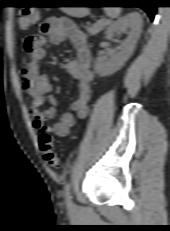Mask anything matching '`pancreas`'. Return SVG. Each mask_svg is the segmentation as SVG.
I'll use <instances>...</instances> for the list:
<instances>
[{"label":"pancreas","mask_w":170,"mask_h":231,"mask_svg":"<svg viewBox=\"0 0 170 231\" xmlns=\"http://www.w3.org/2000/svg\"><path fill=\"white\" fill-rule=\"evenodd\" d=\"M109 22L107 20H99L97 23L93 24L92 26L86 27L88 33L90 35H96L101 30L104 29L105 26H107Z\"/></svg>","instance_id":"cf45deb5"}]
</instances>
